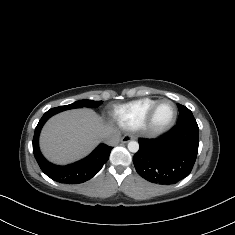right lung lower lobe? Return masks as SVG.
Returning <instances> with one entry per match:
<instances>
[{
  "label": "right lung lower lobe",
  "mask_w": 235,
  "mask_h": 235,
  "mask_svg": "<svg viewBox=\"0 0 235 235\" xmlns=\"http://www.w3.org/2000/svg\"><path fill=\"white\" fill-rule=\"evenodd\" d=\"M54 114L52 109L48 110L40 119L35 128L33 137V153L41 170L51 179L68 184L83 183L96 175L109 159L112 147L100 144L89 156L76 163L58 166L48 162L39 149V134L44 123Z\"/></svg>",
  "instance_id": "98d812e1"
}]
</instances>
